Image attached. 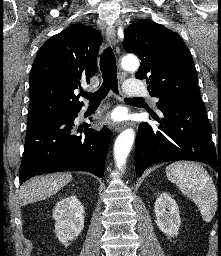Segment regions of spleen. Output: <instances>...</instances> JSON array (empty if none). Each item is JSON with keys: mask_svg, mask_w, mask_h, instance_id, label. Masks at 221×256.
Masks as SVG:
<instances>
[{"mask_svg": "<svg viewBox=\"0 0 221 256\" xmlns=\"http://www.w3.org/2000/svg\"><path fill=\"white\" fill-rule=\"evenodd\" d=\"M167 178L191 199L209 222L217 210V191L208 172L197 163L181 161L166 167Z\"/></svg>", "mask_w": 221, "mask_h": 256, "instance_id": "spleen-1", "label": "spleen"}]
</instances>
